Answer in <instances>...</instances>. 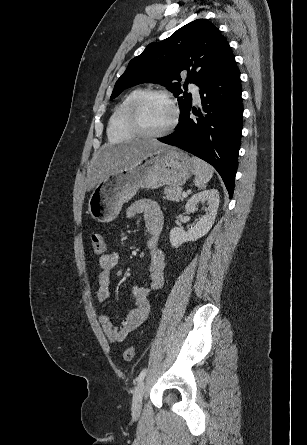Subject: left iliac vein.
<instances>
[{
	"label": "left iliac vein",
	"mask_w": 307,
	"mask_h": 445,
	"mask_svg": "<svg viewBox=\"0 0 307 445\" xmlns=\"http://www.w3.org/2000/svg\"><path fill=\"white\" fill-rule=\"evenodd\" d=\"M144 395V382L141 381L136 387L132 400V415L138 417L142 408V399Z\"/></svg>",
	"instance_id": "4c4485c4"
}]
</instances>
